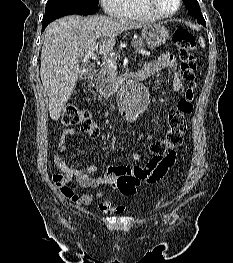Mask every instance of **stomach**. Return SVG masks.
I'll return each mask as SVG.
<instances>
[{
    "mask_svg": "<svg viewBox=\"0 0 233 263\" xmlns=\"http://www.w3.org/2000/svg\"><path fill=\"white\" fill-rule=\"evenodd\" d=\"M141 34L147 45L152 48L164 44L169 38L167 29L157 24L144 27Z\"/></svg>",
    "mask_w": 233,
    "mask_h": 263,
    "instance_id": "1",
    "label": "stomach"
}]
</instances>
